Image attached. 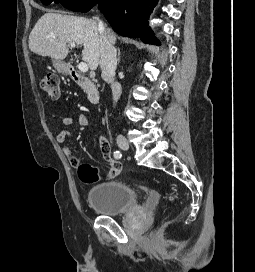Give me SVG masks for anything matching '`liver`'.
I'll list each match as a JSON object with an SVG mask.
<instances>
[{
    "instance_id": "1",
    "label": "liver",
    "mask_w": 255,
    "mask_h": 272,
    "mask_svg": "<svg viewBox=\"0 0 255 272\" xmlns=\"http://www.w3.org/2000/svg\"><path fill=\"white\" fill-rule=\"evenodd\" d=\"M106 31L110 43L114 44L116 34L109 28ZM71 43L83 45L82 59L92 71L96 70L100 60V33L94 19L48 12L29 35V49L53 60L65 59Z\"/></svg>"
}]
</instances>
